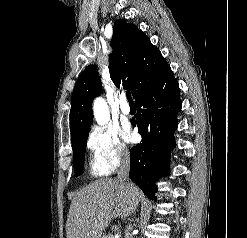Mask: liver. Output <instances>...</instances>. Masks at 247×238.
Segmentation results:
<instances>
[{
  "instance_id": "1",
  "label": "liver",
  "mask_w": 247,
  "mask_h": 238,
  "mask_svg": "<svg viewBox=\"0 0 247 238\" xmlns=\"http://www.w3.org/2000/svg\"><path fill=\"white\" fill-rule=\"evenodd\" d=\"M140 199L139 189L117 179H100L73 198L66 224L67 238H101L112 218L129 216Z\"/></svg>"
}]
</instances>
